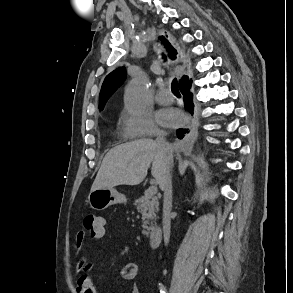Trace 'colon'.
<instances>
[{
	"mask_svg": "<svg viewBox=\"0 0 293 293\" xmlns=\"http://www.w3.org/2000/svg\"><path fill=\"white\" fill-rule=\"evenodd\" d=\"M83 226L91 234L100 233L104 227V219L94 213H87L83 217Z\"/></svg>",
	"mask_w": 293,
	"mask_h": 293,
	"instance_id": "obj_1",
	"label": "colon"
}]
</instances>
